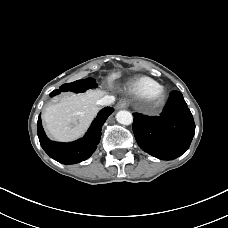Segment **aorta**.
Instances as JSON below:
<instances>
[{"mask_svg":"<svg viewBox=\"0 0 228 228\" xmlns=\"http://www.w3.org/2000/svg\"><path fill=\"white\" fill-rule=\"evenodd\" d=\"M116 120L122 125H130L133 122V116L129 111L121 110L116 114Z\"/></svg>","mask_w":228,"mask_h":228,"instance_id":"obj_1","label":"aorta"}]
</instances>
